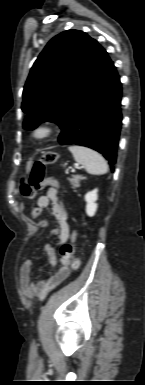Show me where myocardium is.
I'll return each mask as SVG.
<instances>
[{
	"label": "myocardium",
	"instance_id": "myocardium-1",
	"mask_svg": "<svg viewBox=\"0 0 145 385\" xmlns=\"http://www.w3.org/2000/svg\"><path fill=\"white\" fill-rule=\"evenodd\" d=\"M54 132V128L49 124H40L32 130V138L36 141H44Z\"/></svg>",
	"mask_w": 145,
	"mask_h": 385
}]
</instances>
